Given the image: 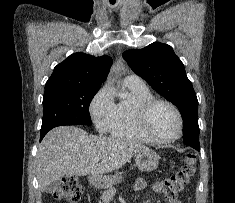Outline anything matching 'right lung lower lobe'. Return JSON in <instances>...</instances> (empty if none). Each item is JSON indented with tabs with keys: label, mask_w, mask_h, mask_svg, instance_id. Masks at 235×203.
Returning <instances> with one entry per match:
<instances>
[{
	"label": "right lung lower lobe",
	"mask_w": 235,
	"mask_h": 203,
	"mask_svg": "<svg viewBox=\"0 0 235 203\" xmlns=\"http://www.w3.org/2000/svg\"><path fill=\"white\" fill-rule=\"evenodd\" d=\"M49 130L41 132V136H40V141L43 139V137L47 134Z\"/></svg>",
	"instance_id": "obj_1"
}]
</instances>
